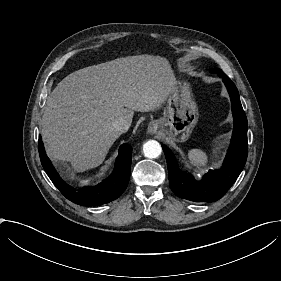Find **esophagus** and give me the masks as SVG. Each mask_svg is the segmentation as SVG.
<instances>
[{
	"label": "esophagus",
	"instance_id": "obj_1",
	"mask_svg": "<svg viewBox=\"0 0 281 281\" xmlns=\"http://www.w3.org/2000/svg\"><path fill=\"white\" fill-rule=\"evenodd\" d=\"M157 130V126L155 124H150V126L148 127V132L149 133H155Z\"/></svg>",
	"mask_w": 281,
	"mask_h": 281
}]
</instances>
